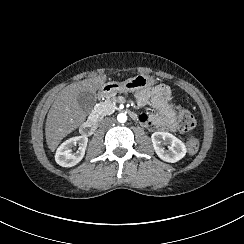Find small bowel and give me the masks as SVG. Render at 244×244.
Wrapping results in <instances>:
<instances>
[{
	"mask_svg": "<svg viewBox=\"0 0 244 244\" xmlns=\"http://www.w3.org/2000/svg\"><path fill=\"white\" fill-rule=\"evenodd\" d=\"M139 79V76H136ZM139 107H150L153 112H141L135 117L144 127H154L161 130H171L174 127V105L171 91L162 84L154 88H139L132 92Z\"/></svg>",
	"mask_w": 244,
	"mask_h": 244,
	"instance_id": "obj_1",
	"label": "small bowel"
}]
</instances>
